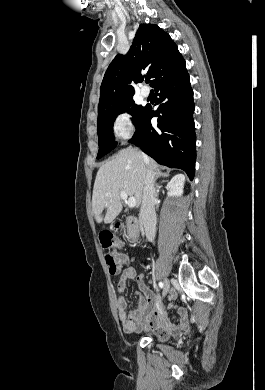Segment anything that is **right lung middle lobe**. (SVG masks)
Here are the masks:
<instances>
[{
    "label": "right lung middle lobe",
    "mask_w": 265,
    "mask_h": 390,
    "mask_svg": "<svg viewBox=\"0 0 265 390\" xmlns=\"http://www.w3.org/2000/svg\"><path fill=\"white\" fill-rule=\"evenodd\" d=\"M146 110L147 106L143 107L141 105H137L133 99H130L98 114L97 132L99 151L97 159L106 155L116 146V142L113 137V122L115 121L117 115L124 112L131 114L134 119L133 124L137 127L145 116Z\"/></svg>",
    "instance_id": "obj_1"
}]
</instances>
